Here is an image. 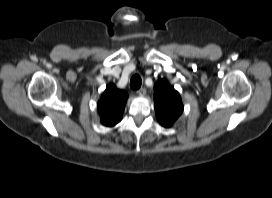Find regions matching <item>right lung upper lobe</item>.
I'll list each match as a JSON object with an SVG mask.
<instances>
[{
    "label": "right lung upper lobe",
    "instance_id": "right-lung-upper-lobe-1",
    "mask_svg": "<svg viewBox=\"0 0 272 198\" xmlns=\"http://www.w3.org/2000/svg\"><path fill=\"white\" fill-rule=\"evenodd\" d=\"M127 94L110 84L101 96L98 103L101 123L112 127L122 119V113L125 108Z\"/></svg>",
    "mask_w": 272,
    "mask_h": 198
}]
</instances>
